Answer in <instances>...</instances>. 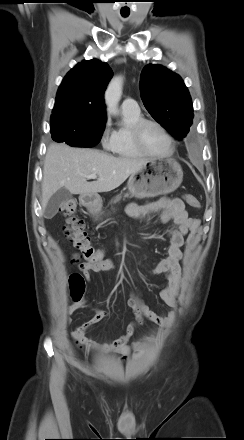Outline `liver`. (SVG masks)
Returning <instances> with one entry per match:
<instances>
[{
    "label": "liver",
    "mask_w": 244,
    "mask_h": 440,
    "mask_svg": "<svg viewBox=\"0 0 244 440\" xmlns=\"http://www.w3.org/2000/svg\"><path fill=\"white\" fill-rule=\"evenodd\" d=\"M147 162V159L114 157L90 148L51 144L43 167L42 208H46L49 199L61 188L79 195L112 191ZM91 174L98 176L97 181L87 182Z\"/></svg>",
    "instance_id": "1"
}]
</instances>
